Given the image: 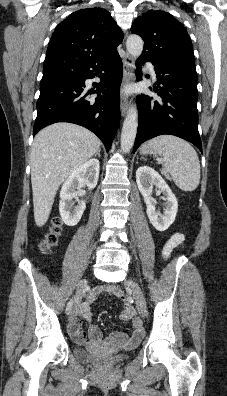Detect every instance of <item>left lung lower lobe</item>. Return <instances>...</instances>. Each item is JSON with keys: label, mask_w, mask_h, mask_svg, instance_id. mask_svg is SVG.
Instances as JSON below:
<instances>
[{"label": "left lung lower lobe", "mask_w": 227, "mask_h": 396, "mask_svg": "<svg viewBox=\"0 0 227 396\" xmlns=\"http://www.w3.org/2000/svg\"><path fill=\"white\" fill-rule=\"evenodd\" d=\"M150 60L139 58L137 66ZM157 73L158 98L138 96V131L134 152L146 140L163 134L175 135L193 143L202 151L198 132L197 73L169 67L153 61ZM142 76L137 74V79ZM161 85V86H160Z\"/></svg>", "instance_id": "left-lung-lower-lobe-1"}]
</instances>
